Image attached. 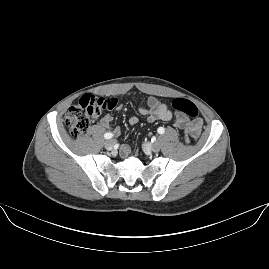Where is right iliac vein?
Returning a JSON list of instances; mask_svg holds the SVG:
<instances>
[{
  "label": "right iliac vein",
  "instance_id": "63e3f726",
  "mask_svg": "<svg viewBox=\"0 0 269 269\" xmlns=\"http://www.w3.org/2000/svg\"><path fill=\"white\" fill-rule=\"evenodd\" d=\"M115 144H116V141L115 140H113V139L107 140L105 142V148L112 149Z\"/></svg>",
  "mask_w": 269,
  "mask_h": 269
}]
</instances>
